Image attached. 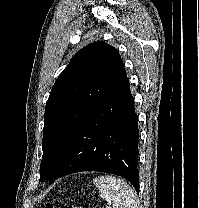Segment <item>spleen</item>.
Returning a JSON list of instances; mask_svg holds the SVG:
<instances>
[{
    "instance_id": "1",
    "label": "spleen",
    "mask_w": 199,
    "mask_h": 208,
    "mask_svg": "<svg viewBox=\"0 0 199 208\" xmlns=\"http://www.w3.org/2000/svg\"><path fill=\"white\" fill-rule=\"evenodd\" d=\"M100 197L112 205V208H136V194L122 179L102 175L93 179Z\"/></svg>"
}]
</instances>
